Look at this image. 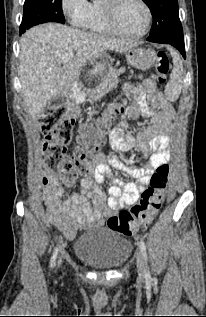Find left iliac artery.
I'll return each instance as SVG.
<instances>
[{"instance_id": "obj_1", "label": "left iliac artery", "mask_w": 206, "mask_h": 317, "mask_svg": "<svg viewBox=\"0 0 206 317\" xmlns=\"http://www.w3.org/2000/svg\"><path fill=\"white\" fill-rule=\"evenodd\" d=\"M139 247H140V249H141V252H142V255H143L144 259L147 260L146 245H145L144 241L140 240V242H139ZM146 277H147L148 279L151 278V274H150V271H149L148 268H147V270H146Z\"/></svg>"}]
</instances>
